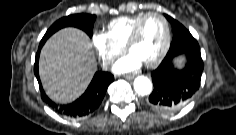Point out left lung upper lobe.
<instances>
[{
  "label": "left lung upper lobe",
  "instance_id": "1",
  "mask_svg": "<svg viewBox=\"0 0 236 135\" xmlns=\"http://www.w3.org/2000/svg\"><path fill=\"white\" fill-rule=\"evenodd\" d=\"M165 17H166L168 20L173 19V18H171V17L168 16V15H165Z\"/></svg>",
  "mask_w": 236,
  "mask_h": 135
}]
</instances>
